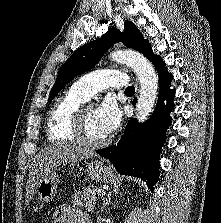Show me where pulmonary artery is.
I'll return each instance as SVG.
<instances>
[{
    "mask_svg": "<svg viewBox=\"0 0 221 223\" xmlns=\"http://www.w3.org/2000/svg\"><path fill=\"white\" fill-rule=\"evenodd\" d=\"M127 84L128 76L126 73L110 68L94 71L77 79L71 85V89L86 100L110 86L124 87Z\"/></svg>",
    "mask_w": 221,
    "mask_h": 223,
    "instance_id": "pulmonary-artery-1",
    "label": "pulmonary artery"
}]
</instances>
